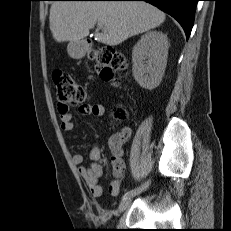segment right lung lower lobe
I'll return each mask as SVG.
<instances>
[{"label": "right lung lower lobe", "mask_w": 231, "mask_h": 231, "mask_svg": "<svg viewBox=\"0 0 231 231\" xmlns=\"http://www.w3.org/2000/svg\"><path fill=\"white\" fill-rule=\"evenodd\" d=\"M100 1H146L175 18L189 38L194 23L196 4L199 0H100Z\"/></svg>", "instance_id": "obj_1"}]
</instances>
